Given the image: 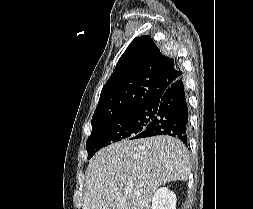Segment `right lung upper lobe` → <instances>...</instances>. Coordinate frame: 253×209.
I'll return each mask as SVG.
<instances>
[{
    "label": "right lung upper lobe",
    "instance_id": "right-lung-upper-lobe-1",
    "mask_svg": "<svg viewBox=\"0 0 253 209\" xmlns=\"http://www.w3.org/2000/svg\"><path fill=\"white\" fill-rule=\"evenodd\" d=\"M181 75L175 60L164 56L150 36L135 38L104 85L92 120L153 103Z\"/></svg>",
    "mask_w": 253,
    "mask_h": 209
}]
</instances>
